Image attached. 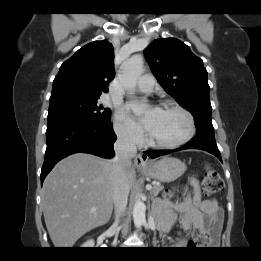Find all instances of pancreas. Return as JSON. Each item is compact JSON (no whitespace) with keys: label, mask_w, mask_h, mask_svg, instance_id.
<instances>
[{"label":"pancreas","mask_w":261,"mask_h":261,"mask_svg":"<svg viewBox=\"0 0 261 261\" xmlns=\"http://www.w3.org/2000/svg\"><path fill=\"white\" fill-rule=\"evenodd\" d=\"M161 190H163V186L162 185H154L153 187H152V190H151V195L153 196V197H155V196H157L158 194H159V192L161 191Z\"/></svg>","instance_id":"pancreas-1"}]
</instances>
